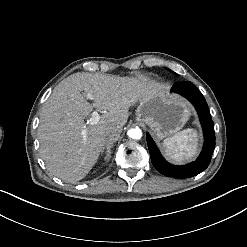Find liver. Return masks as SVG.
<instances>
[{"instance_id":"liver-1","label":"liver","mask_w":247,"mask_h":247,"mask_svg":"<svg viewBox=\"0 0 247 247\" xmlns=\"http://www.w3.org/2000/svg\"><path fill=\"white\" fill-rule=\"evenodd\" d=\"M158 88L157 82L142 74L113 77L78 72L62 80L40 113L37 135L47 170L68 183L83 179L107 142L105 128L112 124L124 126L129 108ZM93 108L108 112L97 124H86L84 118Z\"/></svg>"}]
</instances>
